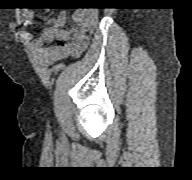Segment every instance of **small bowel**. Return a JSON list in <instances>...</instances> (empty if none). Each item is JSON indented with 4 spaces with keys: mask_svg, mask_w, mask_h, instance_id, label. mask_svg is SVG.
Returning a JSON list of instances; mask_svg holds the SVG:
<instances>
[{
    "mask_svg": "<svg viewBox=\"0 0 192 180\" xmlns=\"http://www.w3.org/2000/svg\"><path fill=\"white\" fill-rule=\"evenodd\" d=\"M22 16L26 25L33 23L34 14L31 10H24ZM66 18V13L62 11L51 21V25L38 36L33 38L31 33L25 31L22 33V38L33 39V50L46 60L78 57L90 43V33L96 24L97 13L94 11H75L72 14L74 25L70 29L64 28ZM53 40L56 43L48 47L47 43Z\"/></svg>",
    "mask_w": 192,
    "mask_h": 180,
    "instance_id": "small-bowel-1",
    "label": "small bowel"
}]
</instances>
